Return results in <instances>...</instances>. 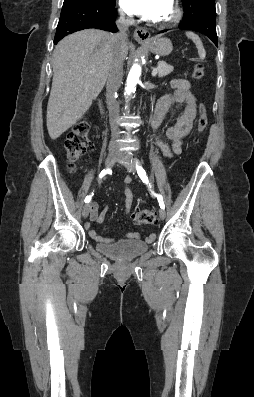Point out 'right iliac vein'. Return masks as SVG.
<instances>
[{"label": "right iliac vein", "mask_w": 254, "mask_h": 397, "mask_svg": "<svg viewBox=\"0 0 254 397\" xmlns=\"http://www.w3.org/2000/svg\"><path fill=\"white\" fill-rule=\"evenodd\" d=\"M120 158V155L117 152H111L108 154L106 161H105V165L107 168L111 167L118 159ZM91 209V204L87 203L84 207H83V211H82V216L83 218H86L90 212Z\"/></svg>", "instance_id": "1"}]
</instances>
